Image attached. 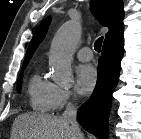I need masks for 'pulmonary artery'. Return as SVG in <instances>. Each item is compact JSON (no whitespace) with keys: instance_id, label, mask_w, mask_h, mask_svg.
Listing matches in <instances>:
<instances>
[{"instance_id":"pulmonary-artery-1","label":"pulmonary artery","mask_w":141,"mask_h":139,"mask_svg":"<svg viewBox=\"0 0 141 139\" xmlns=\"http://www.w3.org/2000/svg\"><path fill=\"white\" fill-rule=\"evenodd\" d=\"M76 55L80 61L84 62L90 61L93 58L92 51L88 47L81 48L80 50L77 51Z\"/></svg>"}]
</instances>
